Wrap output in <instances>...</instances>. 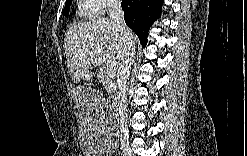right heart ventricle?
I'll list each match as a JSON object with an SVG mask.
<instances>
[{"label": "right heart ventricle", "mask_w": 247, "mask_h": 156, "mask_svg": "<svg viewBox=\"0 0 247 156\" xmlns=\"http://www.w3.org/2000/svg\"><path fill=\"white\" fill-rule=\"evenodd\" d=\"M78 13L82 17L92 18L98 15L97 7L92 1H83L80 3Z\"/></svg>", "instance_id": "e07e8e85"}]
</instances>
